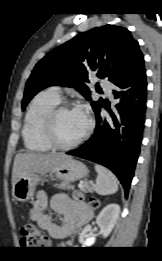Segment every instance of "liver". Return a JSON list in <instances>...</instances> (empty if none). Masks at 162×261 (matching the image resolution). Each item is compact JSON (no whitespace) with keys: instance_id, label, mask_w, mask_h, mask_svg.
I'll use <instances>...</instances> for the list:
<instances>
[{"instance_id":"6515ba94","label":"liver","mask_w":162,"mask_h":261,"mask_svg":"<svg viewBox=\"0 0 162 261\" xmlns=\"http://www.w3.org/2000/svg\"><path fill=\"white\" fill-rule=\"evenodd\" d=\"M68 156L64 153L40 154L19 153L16 155L12 171V186L23 177L52 172Z\"/></svg>"}]
</instances>
